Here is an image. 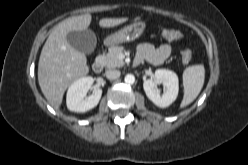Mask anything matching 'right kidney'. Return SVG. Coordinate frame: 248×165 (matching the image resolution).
Instances as JSON below:
<instances>
[{"label": "right kidney", "instance_id": "obj_1", "mask_svg": "<svg viewBox=\"0 0 248 165\" xmlns=\"http://www.w3.org/2000/svg\"><path fill=\"white\" fill-rule=\"evenodd\" d=\"M93 82L94 79L91 76H87L77 79L69 86L66 104L70 111L84 113L98 105L102 95V90L100 88H95L92 95L86 97Z\"/></svg>", "mask_w": 248, "mask_h": 165}]
</instances>
